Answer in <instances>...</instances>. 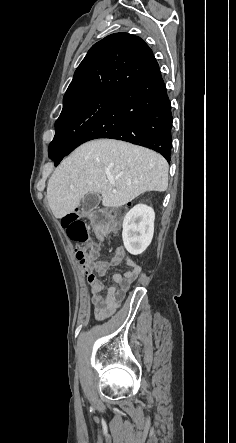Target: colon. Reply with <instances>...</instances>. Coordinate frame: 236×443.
Returning a JSON list of instances; mask_svg holds the SVG:
<instances>
[{
    "label": "colon",
    "instance_id": "colon-1",
    "mask_svg": "<svg viewBox=\"0 0 236 443\" xmlns=\"http://www.w3.org/2000/svg\"><path fill=\"white\" fill-rule=\"evenodd\" d=\"M122 214L119 211L112 212L108 218L97 223L93 228L99 237L107 238L117 229L121 223ZM63 227L67 231L69 239L76 245V258L80 262L94 260L98 256L96 248L86 244L90 239L91 227L76 213L66 214L61 219Z\"/></svg>",
    "mask_w": 236,
    "mask_h": 443
}]
</instances>
